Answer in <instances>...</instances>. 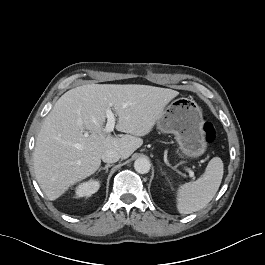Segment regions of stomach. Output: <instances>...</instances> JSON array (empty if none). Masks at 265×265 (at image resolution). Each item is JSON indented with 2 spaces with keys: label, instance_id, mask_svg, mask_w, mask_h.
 <instances>
[{
  "label": "stomach",
  "instance_id": "stomach-1",
  "mask_svg": "<svg viewBox=\"0 0 265 265\" xmlns=\"http://www.w3.org/2000/svg\"><path fill=\"white\" fill-rule=\"evenodd\" d=\"M201 108L189 98L172 101L157 120V127L164 133L174 134L182 156L196 158L207 148Z\"/></svg>",
  "mask_w": 265,
  "mask_h": 265
}]
</instances>
